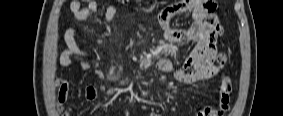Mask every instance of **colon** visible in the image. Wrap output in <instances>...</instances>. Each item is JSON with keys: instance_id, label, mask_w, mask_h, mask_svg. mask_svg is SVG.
<instances>
[{"instance_id": "obj_1", "label": "colon", "mask_w": 283, "mask_h": 116, "mask_svg": "<svg viewBox=\"0 0 283 116\" xmlns=\"http://www.w3.org/2000/svg\"><path fill=\"white\" fill-rule=\"evenodd\" d=\"M225 55L223 53H220L218 55V61L220 63H224L225 62ZM67 92H68V87L66 85H63L60 89L59 92V96H58V108L60 111L64 110V104L66 102L67 99ZM229 108V103L225 102L223 103L221 106H219L218 109H215L218 113V115H221L223 112H225L226 110H228Z\"/></svg>"}]
</instances>
